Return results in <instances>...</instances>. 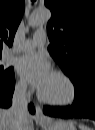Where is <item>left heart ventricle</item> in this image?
<instances>
[{"label": "left heart ventricle", "mask_w": 95, "mask_h": 130, "mask_svg": "<svg viewBox=\"0 0 95 130\" xmlns=\"http://www.w3.org/2000/svg\"><path fill=\"white\" fill-rule=\"evenodd\" d=\"M40 90L46 98L51 100L63 101L70 96L68 83L62 77L53 73Z\"/></svg>", "instance_id": "obj_1"}]
</instances>
